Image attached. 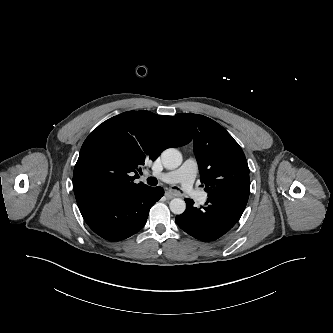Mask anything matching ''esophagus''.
<instances>
[{
	"label": "esophagus",
	"instance_id": "1",
	"mask_svg": "<svg viewBox=\"0 0 333 333\" xmlns=\"http://www.w3.org/2000/svg\"><path fill=\"white\" fill-rule=\"evenodd\" d=\"M177 195H178L177 193L172 192V191H166L165 192V196H166L167 199H172V198L176 197Z\"/></svg>",
	"mask_w": 333,
	"mask_h": 333
}]
</instances>
